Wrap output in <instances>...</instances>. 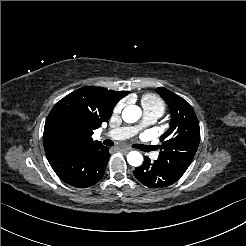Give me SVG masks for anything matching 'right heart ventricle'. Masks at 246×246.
<instances>
[{"mask_svg": "<svg viewBox=\"0 0 246 246\" xmlns=\"http://www.w3.org/2000/svg\"><path fill=\"white\" fill-rule=\"evenodd\" d=\"M141 104L145 112L156 113L163 115L166 110V102L162 97L155 93H145L141 96Z\"/></svg>", "mask_w": 246, "mask_h": 246, "instance_id": "e07e8e85", "label": "right heart ventricle"}]
</instances>
